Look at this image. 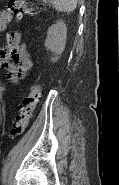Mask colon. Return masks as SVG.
<instances>
[{
	"label": "colon",
	"mask_w": 119,
	"mask_h": 185,
	"mask_svg": "<svg viewBox=\"0 0 119 185\" xmlns=\"http://www.w3.org/2000/svg\"><path fill=\"white\" fill-rule=\"evenodd\" d=\"M36 10L27 6L25 0H9L5 10L0 16V29L4 30L14 19H21L23 14L28 16L36 15ZM41 95L40 85H32L27 96L23 99L19 113L13 123L10 136H20L29 125V122L36 110Z\"/></svg>",
	"instance_id": "obj_1"
}]
</instances>
